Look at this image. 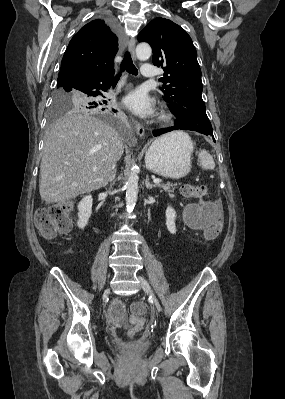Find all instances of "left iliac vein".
I'll use <instances>...</instances> for the list:
<instances>
[{
	"label": "left iliac vein",
	"mask_w": 285,
	"mask_h": 399,
	"mask_svg": "<svg viewBox=\"0 0 285 399\" xmlns=\"http://www.w3.org/2000/svg\"><path fill=\"white\" fill-rule=\"evenodd\" d=\"M138 279H139L140 285L143 288V290L152 298L153 303H154L155 307L157 308V310L159 312L162 311L161 304L158 301V299L155 297V295H154L149 283L141 275H138Z\"/></svg>",
	"instance_id": "left-iliac-vein-1"
}]
</instances>
